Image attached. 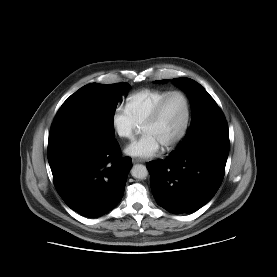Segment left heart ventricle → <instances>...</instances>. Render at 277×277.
Here are the masks:
<instances>
[{
  "mask_svg": "<svg viewBox=\"0 0 277 277\" xmlns=\"http://www.w3.org/2000/svg\"><path fill=\"white\" fill-rule=\"evenodd\" d=\"M185 118V101L180 95H174L165 104L159 120L143 128V132L152 134L162 146H165L180 133Z\"/></svg>",
  "mask_w": 277,
  "mask_h": 277,
  "instance_id": "obj_1",
  "label": "left heart ventricle"
}]
</instances>
